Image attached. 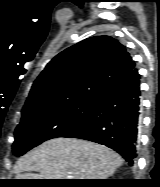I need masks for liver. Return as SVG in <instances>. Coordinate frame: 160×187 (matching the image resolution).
<instances>
[{
    "label": "liver",
    "instance_id": "6515ba94",
    "mask_svg": "<svg viewBox=\"0 0 160 187\" xmlns=\"http://www.w3.org/2000/svg\"><path fill=\"white\" fill-rule=\"evenodd\" d=\"M122 163V158L104 145L55 138L22 156L15 174L16 179H107Z\"/></svg>",
    "mask_w": 160,
    "mask_h": 187
}]
</instances>
